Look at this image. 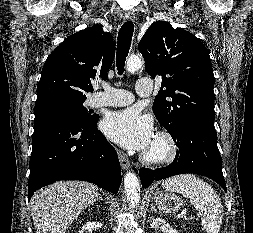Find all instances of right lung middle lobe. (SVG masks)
Returning a JSON list of instances; mask_svg holds the SVG:
<instances>
[{
    "mask_svg": "<svg viewBox=\"0 0 253 233\" xmlns=\"http://www.w3.org/2000/svg\"><path fill=\"white\" fill-rule=\"evenodd\" d=\"M86 99L76 100L63 97H53L36 103L34 122L49 117H62L76 123H87L96 118L83 106Z\"/></svg>",
    "mask_w": 253,
    "mask_h": 233,
    "instance_id": "right-lung-middle-lobe-1",
    "label": "right lung middle lobe"
}]
</instances>
